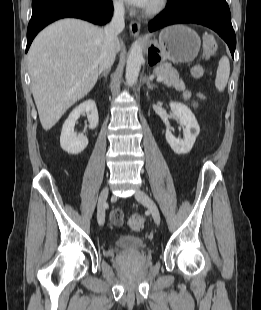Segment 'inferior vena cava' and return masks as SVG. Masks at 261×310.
<instances>
[{"mask_svg": "<svg viewBox=\"0 0 261 310\" xmlns=\"http://www.w3.org/2000/svg\"><path fill=\"white\" fill-rule=\"evenodd\" d=\"M124 13L123 3H115L113 17L104 29L105 38L99 56L100 71L110 70L115 61L117 36L125 27Z\"/></svg>", "mask_w": 261, "mask_h": 310, "instance_id": "1", "label": "inferior vena cava"}]
</instances>
